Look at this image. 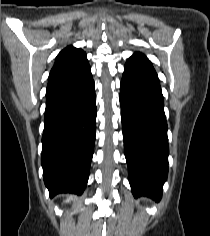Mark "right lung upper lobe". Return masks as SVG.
I'll return each instance as SVG.
<instances>
[{
	"mask_svg": "<svg viewBox=\"0 0 210 236\" xmlns=\"http://www.w3.org/2000/svg\"><path fill=\"white\" fill-rule=\"evenodd\" d=\"M88 63L86 53L80 48L68 46L56 57L55 64L50 72L49 79L69 72Z\"/></svg>",
	"mask_w": 210,
	"mask_h": 236,
	"instance_id": "cb5924a9",
	"label": "right lung upper lobe"
}]
</instances>
